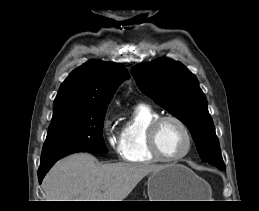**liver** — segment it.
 Wrapping results in <instances>:
<instances>
[{"mask_svg":"<svg viewBox=\"0 0 259 211\" xmlns=\"http://www.w3.org/2000/svg\"><path fill=\"white\" fill-rule=\"evenodd\" d=\"M162 165L99 164L89 153L59 160L43 180L47 201H123L148 174Z\"/></svg>","mask_w":259,"mask_h":211,"instance_id":"obj_1","label":"liver"}]
</instances>
